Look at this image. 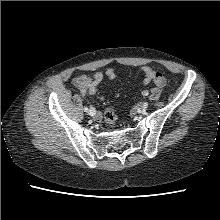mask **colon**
I'll return each mask as SVG.
<instances>
[{"instance_id": "5ec220e1", "label": "colon", "mask_w": 220, "mask_h": 220, "mask_svg": "<svg viewBox=\"0 0 220 220\" xmlns=\"http://www.w3.org/2000/svg\"><path fill=\"white\" fill-rule=\"evenodd\" d=\"M155 85L160 88H167L169 86V81L164 76L156 77ZM104 119L109 126L114 127L116 125L117 115L113 106H109L105 110Z\"/></svg>"}]
</instances>
